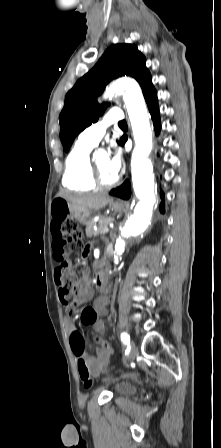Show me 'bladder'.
<instances>
[{
	"label": "bladder",
	"mask_w": 221,
	"mask_h": 448,
	"mask_svg": "<svg viewBox=\"0 0 221 448\" xmlns=\"http://www.w3.org/2000/svg\"><path fill=\"white\" fill-rule=\"evenodd\" d=\"M134 392V386L128 381H120L116 384L114 389V395L116 397H124Z\"/></svg>",
	"instance_id": "bladder-1"
}]
</instances>
